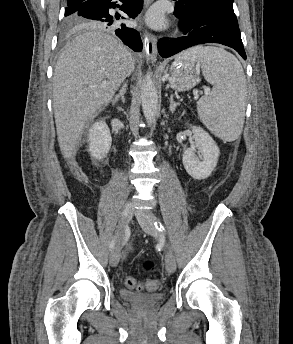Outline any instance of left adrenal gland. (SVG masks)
Returning <instances> with one entry per match:
<instances>
[{
	"label": "left adrenal gland",
	"mask_w": 293,
	"mask_h": 344,
	"mask_svg": "<svg viewBox=\"0 0 293 344\" xmlns=\"http://www.w3.org/2000/svg\"><path fill=\"white\" fill-rule=\"evenodd\" d=\"M169 102H170L169 110L171 111V113H174L175 110H176V107L179 106L180 103H176V102L173 100V95L170 96Z\"/></svg>",
	"instance_id": "a2214340"
}]
</instances>
